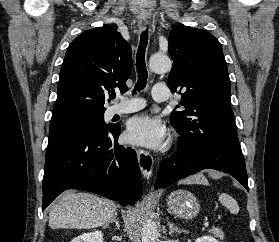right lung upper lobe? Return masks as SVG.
<instances>
[{
    "instance_id": "right-lung-upper-lobe-1",
    "label": "right lung upper lobe",
    "mask_w": 279,
    "mask_h": 242,
    "mask_svg": "<svg viewBox=\"0 0 279 242\" xmlns=\"http://www.w3.org/2000/svg\"><path fill=\"white\" fill-rule=\"evenodd\" d=\"M132 70L131 48L113 27L87 30L66 52L52 115L73 111L105 112V96L126 91Z\"/></svg>"
}]
</instances>
